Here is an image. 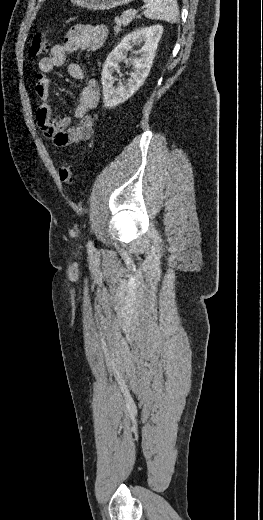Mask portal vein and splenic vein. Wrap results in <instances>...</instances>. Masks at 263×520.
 <instances>
[{
  "instance_id": "obj_1",
  "label": "portal vein and splenic vein",
  "mask_w": 263,
  "mask_h": 520,
  "mask_svg": "<svg viewBox=\"0 0 263 520\" xmlns=\"http://www.w3.org/2000/svg\"><path fill=\"white\" fill-rule=\"evenodd\" d=\"M147 7H148L147 5H143V6L141 7V9H146ZM141 9H140V10H141Z\"/></svg>"
}]
</instances>
